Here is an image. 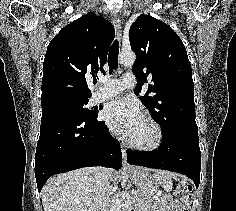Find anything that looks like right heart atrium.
Instances as JSON below:
<instances>
[{
  "label": "right heart atrium",
  "mask_w": 236,
  "mask_h": 211,
  "mask_svg": "<svg viewBox=\"0 0 236 211\" xmlns=\"http://www.w3.org/2000/svg\"><path fill=\"white\" fill-rule=\"evenodd\" d=\"M109 131L112 133V130H111V129H109Z\"/></svg>",
  "instance_id": "right-heart-atrium-1"
}]
</instances>
